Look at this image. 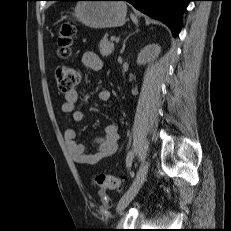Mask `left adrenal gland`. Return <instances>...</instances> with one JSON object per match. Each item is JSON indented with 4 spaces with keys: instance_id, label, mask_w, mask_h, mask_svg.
<instances>
[{
    "instance_id": "left-adrenal-gland-1",
    "label": "left adrenal gland",
    "mask_w": 231,
    "mask_h": 231,
    "mask_svg": "<svg viewBox=\"0 0 231 231\" xmlns=\"http://www.w3.org/2000/svg\"><path fill=\"white\" fill-rule=\"evenodd\" d=\"M139 30L137 29L135 32H138ZM135 32H133V33H131V34H129L127 37H126V39L124 40V42H123V46H122V49H121V51H120V53L122 54L123 52H124V50H125V47H126V41L129 39V37L131 36V35H133Z\"/></svg>"
}]
</instances>
